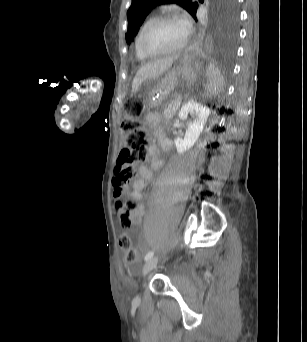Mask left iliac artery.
Returning <instances> with one entry per match:
<instances>
[{"label": "left iliac artery", "mask_w": 307, "mask_h": 342, "mask_svg": "<svg viewBox=\"0 0 307 342\" xmlns=\"http://www.w3.org/2000/svg\"><path fill=\"white\" fill-rule=\"evenodd\" d=\"M154 255V251H150L145 256V261H148L150 258H152Z\"/></svg>", "instance_id": "1"}]
</instances>
